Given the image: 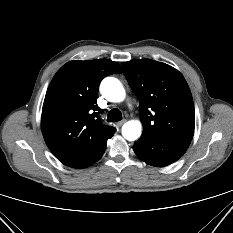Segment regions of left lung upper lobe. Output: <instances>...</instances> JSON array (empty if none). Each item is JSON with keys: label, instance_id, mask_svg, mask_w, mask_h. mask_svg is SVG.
I'll return each mask as SVG.
<instances>
[{"label": "left lung upper lobe", "instance_id": "obj_1", "mask_svg": "<svg viewBox=\"0 0 233 233\" xmlns=\"http://www.w3.org/2000/svg\"><path fill=\"white\" fill-rule=\"evenodd\" d=\"M122 69L140 103L141 137L190 144L195 111L183 75L175 68L151 59L124 62Z\"/></svg>", "mask_w": 233, "mask_h": 233}]
</instances>
